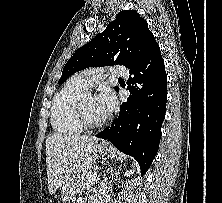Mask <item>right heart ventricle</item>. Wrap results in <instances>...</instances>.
<instances>
[{"label":"right heart ventricle","instance_id":"obj_1","mask_svg":"<svg viewBox=\"0 0 222 203\" xmlns=\"http://www.w3.org/2000/svg\"><path fill=\"white\" fill-rule=\"evenodd\" d=\"M85 88L70 79L54 98L51 108V123L55 132L61 135H77L83 132L76 105Z\"/></svg>","mask_w":222,"mask_h":203}]
</instances>
